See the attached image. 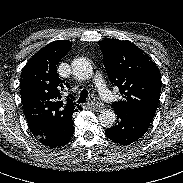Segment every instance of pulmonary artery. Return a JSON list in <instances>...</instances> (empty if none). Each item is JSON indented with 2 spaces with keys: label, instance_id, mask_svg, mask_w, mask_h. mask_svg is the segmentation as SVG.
I'll return each mask as SVG.
<instances>
[{
  "label": "pulmonary artery",
  "instance_id": "e3ab8cb5",
  "mask_svg": "<svg viewBox=\"0 0 183 183\" xmlns=\"http://www.w3.org/2000/svg\"><path fill=\"white\" fill-rule=\"evenodd\" d=\"M95 84L96 87L101 95V97L105 100H110L112 98L111 93L106 88V85L104 84L103 79L101 78L100 74H97L95 77Z\"/></svg>",
  "mask_w": 183,
  "mask_h": 183
}]
</instances>
